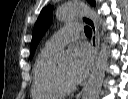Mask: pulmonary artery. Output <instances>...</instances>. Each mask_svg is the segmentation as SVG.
<instances>
[{
  "label": "pulmonary artery",
  "mask_w": 128,
  "mask_h": 99,
  "mask_svg": "<svg viewBox=\"0 0 128 99\" xmlns=\"http://www.w3.org/2000/svg\"><path fill=\"white\" fill-rule=\"evenodd\" d=\"M79 24H69L57 31L46 43V46L53 50H60L66 44L71 43L79 38Z\"/></svg>",
  "instance_id": "1"
}]
</instances>
